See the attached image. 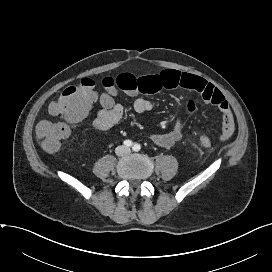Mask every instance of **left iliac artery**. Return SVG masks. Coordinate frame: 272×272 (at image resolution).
<instances>
[{"instance_id": "44dca946", "label": "left iliac artery", "mask_w": 272, "mask_h": 272, "mask_svg": "<svg viewBox=\"0 0 272 272\" xmlns=\"http://www.w3.org/2000/svg\"><path fill=\"white\" fill-rule=\"evenodd\" d=\"M141 149V146L139 145V144H135L134 146H133V150L134 151H139Z\"/></svg>"}]
</instances>
